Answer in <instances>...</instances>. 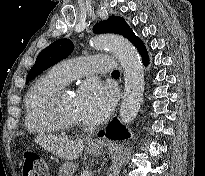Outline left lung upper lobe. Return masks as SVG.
I'll return each instance as SVG.
<instances>
[{"instance_id": "1", "label": "left lung upper lobe", "mask_w": 205, "mask_h": 176, "mask_svg": "<svg viewBox=\"0 0 205 176\" xmlns=\"http://www.w3.org/2000/svg\"><path fill=\"white\" fill-rule=\"evenodd\" d=\"M93 32L96 34L115 33L128 38L132 29H130L122 17L110 16L107 20L97 23L93 28ZM73 49L74 45L69 39H60L53 42L40 52L34 66L27 75L26 82L69 56Z\"/></svg>"}]
</instances>
